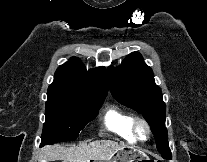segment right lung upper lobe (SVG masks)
<instances>
[{
  "instance_id": "cb5924a9",
  "label": "right lung upper lobe",
  "mask_w": 207,
  "mask_h": 162,
  "mask_svg": "<svg viewBox=\"0 0 207 162\" xmlns=\"http://www.w3.org/2000/svg\"><path fill=\"white\" fill-rule=\"evenodd\" d=\"M49 93L79 97L105 98L108 92L107 73L104 67L87 71L78 58H71L58 67Z\"/></svg>"
}]
</instances>
